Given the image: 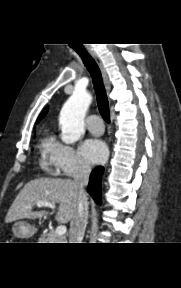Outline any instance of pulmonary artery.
Listing matches in <instances>:
<instances>
[{"label":"pulmonary artery","mask_w":181,"mask_h":288,"mask_svg":"<svg viewBox=\"0 0 181 288\" xmlns=\"http://www.w3.org/2000/svg\"><path fill=\"white\" fill-rule=\"evenodd\" d=\"M87 128L93 134H102L103 123L100 116L97 114H91L87 119Z\"/></svg>","instance_id":"obj_1"}]
</instances>
